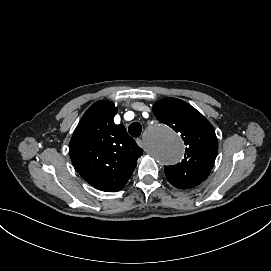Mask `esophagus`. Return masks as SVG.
<instances>
[{
  "label": "esophagus",
  "instance_id": "esophagus-1",
  "mask_svg": "<svg viewBox=\"0 0 271 271\" xmlns=\"http://www.w3.org/2000/svg\"><path fill=\"white\" fill-rule=\"evenodd\" d=\"M145 142V137L142 135V134H139L137 137H136V143L139 145V146H142V144Z\"/></svg>",
  "mask_w": 271,
  "mask_h": 271
}]
</instances>
